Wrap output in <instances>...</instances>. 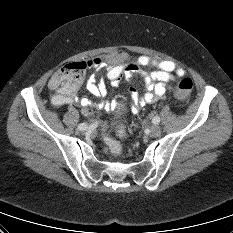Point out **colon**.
<instances>
[{
	"instance_id": "5ec220e1",
	"label": "colon",
	"mask_w": 233,
	"mask_h": 233,
	"mask_svg": "<svg viewBox=\"0 0 233 233\" xmlns=\"http://www.w3.org/2000/svg\"><path fill=\"white\" fill-rule=\"evenodd\" d=\"M87 67L88 63L83 61L64 65L53 75L55 85L66 93L77 91L84 79ZM192 89L193 81L190 78H183L176 86L175 96L178 99H185ZM115 108L121 115L124 110L122 102H117ZM125 135V126L121 120L117 121L114 133H111L107 128L104 130L105 143L115 156H120L122 153L120 139L124 138Z\"/></svg>"
}]
</instances>
